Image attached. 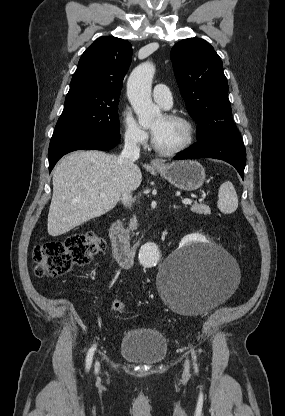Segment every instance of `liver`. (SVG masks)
<instances>
[{
	"mask_svg": "<svg viewBox=\"0 0 285 416\" xmlns=\"http://www.w3.org/2000/svg\"><path fill=\"white\" fill-rule=\"evenodd\" d=\"M141 182L138 166L134 164L128 174H124L117 156L112 154L97 150L69 154L53 174L47 224L49 236H62L87 220L107 214L120 202L123 188L133 192Z\"/></svg>",
	"mask_w": 285,
	"mask_h": 416,
	"instance_id": "6515ba94",
	"label": "liver"
}]
</instances>
